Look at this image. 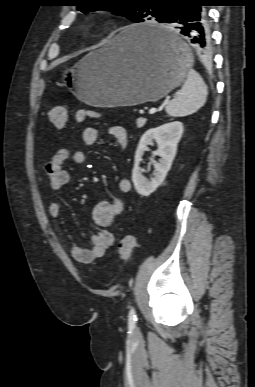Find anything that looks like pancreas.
Wrapping results in <instances>:
<instances>
[{
  "label": "pancreas",
  "mask_w": 255,
  "mask_h": 387,
  "mask_svg": "<svg viewBox=\"0 0 255 387\" xmlns=\"http://www.w3.org/2000/svg\"><path fill=\"white\" fill-rule=\"evenodd\" d=\"M146 121H147L146 119L142 118V123H141V124H138V119H137V122H136L137 128L143 127V126L145 125Z\"/></svg>",
  "instance_id": "cf45deb5"
}]
</instances>
